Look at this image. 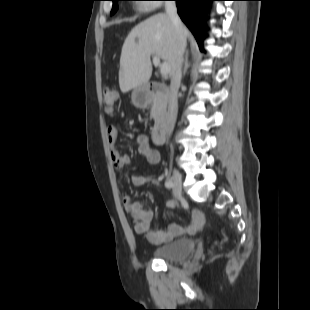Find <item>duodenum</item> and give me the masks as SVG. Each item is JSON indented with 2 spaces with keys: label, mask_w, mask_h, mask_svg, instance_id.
<instances>
[{
  "label": "duodenum",
  "mask_w": 310,
  "mask_h": 310,
  "mask_svg": "<svg viewBox=\"0 0 310 310\" xmlns=\"http://www.w3.org/2000/svg\"><path fill=\"white\" fill-rule=\"evenodd\" d=\"M170 97V90L163 84L156 81L149 82L146 92L143 93L145 104H149L154 101L158 102V117L152 131V140L156 145H160L164 142L167 129L170 124V117L167 111V103Z\"/></svg>",
  "instance_id": "1"
}]
</instances>
